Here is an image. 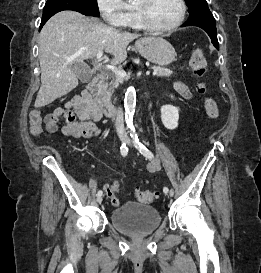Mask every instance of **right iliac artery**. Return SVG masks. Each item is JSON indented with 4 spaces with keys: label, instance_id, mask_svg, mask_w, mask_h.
<instances>
[{
    "label": "right iliac artery",
    "instance_id": "1",
    "mask_svg": "<svg viewBox=\"0 0 261 273\" xmlns=\"http://www.w3.org/2000/svg\"><path fill=\"white\" fill-rule=\"evenodd\" d=\"M120 152L123 157H125L128 154V147L126 146L125 143H123L120 147ZM103 192L101 190L98 191L97 195L101 196Z\"/></svg>",
    "mask_w": 261,
    "mask_h": 273
}]
</instances>
